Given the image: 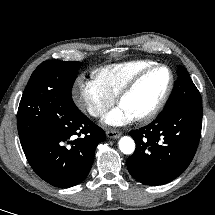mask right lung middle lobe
Segmentation results:
<instances>
[{"mask_svg": "<svg viewBox=\"0 0 215 215\" xmlns=\"http://www.w3.org/2000/svg\"><path fill=\"white\" fill-rule=\"evenodd\" d=\"M80 62H42L30 77L17 114L21 143L78 110L71 96Z\"/></svg>", "mask_w": 215, "mask_h": 215, "instance_id": "dd1d6c3e", "label": "right lung middle lobe"}]
</instances>
